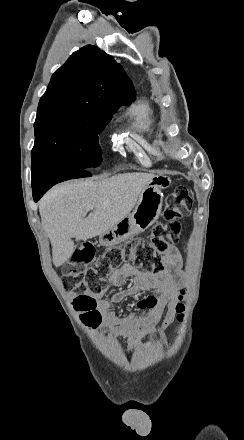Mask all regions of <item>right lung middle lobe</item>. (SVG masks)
<instances>
[{
  "label": "right lung middle lobe",
  "mask_w": 244,
  "mask_h": 440,
  "mask_svg": "<svg viewBox=\"0 0 244 440\" xmlns=\"http://www.w3.org/2000/svg\"><path fill=\"white\" fill-rule=\"evenodd\" d=\"M112 111L73 102L40 103L34 123L32 167L63 163L90 169L102 161L98 134Z\"/></svg>",
  "instance_id": "obj_1"
}]
</instances>
